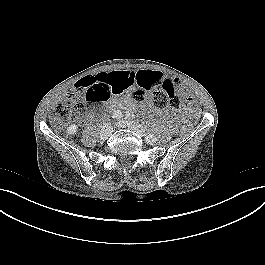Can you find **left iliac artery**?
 I'll list each match as a JSON object with an SVG mask.
<instances>
[{
  "instance_id": "44dca946",
  "label": "left iliac artery",
  "mask_w": 265,
  "mask_h": 265,
  "mask_svg": "<svg viewBox=\"0 0 265 265\" xmlns=\"http://www.w3.org/2000/svg\"><path fill=\"white\" fill-rule=\"evenodd\" d=\"M155 137L152 134L146 136V140H153Z\"/></svg>"
}]
</instances>
